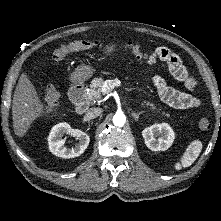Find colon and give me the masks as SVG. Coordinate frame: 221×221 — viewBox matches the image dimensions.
I'll return each instance as SVG.
<instances>
[{
    "label": "colon",
    "mask_w": 221,
    "mask_h": 221,
    "mask_svg": "<svg viewBox=\"0 0 221 221\" xmlns=\"http://www.w3.org/2000/svg\"><path fill=\"white\" fill-rule=\"evenodd\" d=\"M127 48L137 58L147 57V51L143 46L134 44L132 42L126 43ZM101 47L100 41H85V40H73L67 44H63L58 47L52 54V60L55 63L62 61L68 54L90 51ZM59 100V92L52 86H49L45 90V106L46 108H52L57 105ZM199 127L206 131L211 128V121L208 117H202L199 121Z\"/></svg>",
    "instance_id": "colon-1"
}]
</instances>
